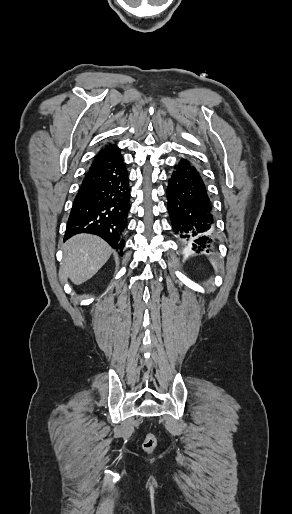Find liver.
I'll list each match as a JSON object with an SVG mask.
<instances>
[{
    "label": "liver",
    "mask_w": 292,
    "mask_h": 514,
    "mask_svg": "<svg viewBox=\"0 0 292 514\" xmlns=\"http://www.w3.org/2000/svg\"><path fill=\"white\" fill-rule=\"evenodd\" d=\"M112 254L110 246L98 236L78 234L63 244L61 272L79 286L90 280Z\"/></svg>",
    "instance_id": "1"
}]
</instances>
